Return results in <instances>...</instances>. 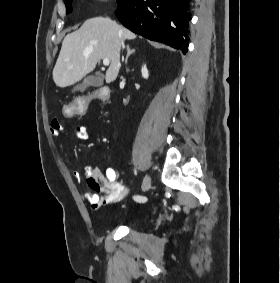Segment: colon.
Masks as SVG:
<instances>
[{"label": "colon", "instance_id": "obj_1", "mask_svg": "<svg viewBox=\"0 0 280 283\" xmlns=\"http://www.w3.org/2000/svg\"><path fill=\"white\" fill-rule=\"evenodd\" d=\"M109 87H96L93 95L99 99H105L108 96ZM77 99H73V103H65L61 106L63 119H72L73 116H84V110L89 104L91 97L84 94H77Z\"/></svg>", "mask_w": 280, "mask_h": 283}]
</instances>
